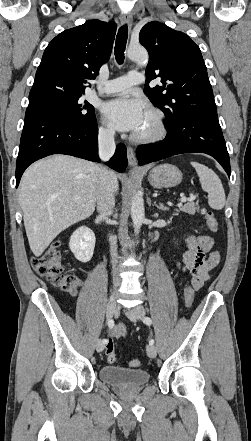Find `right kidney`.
Segmentation results:
<instances>
[{
	"mask_svg": "<svg viewBox=\"0 0 251 441\" xmlns=\"http://www.w3.org/2000/svg\"><path fill=\"white\" fill-rule=\"evenodd\" d=\"M69 248L78 261H90L95 248L94 232L86 226L79 227L70 237Z\"/></svg>",
	"mask_w": 251,
	"mask_h": 441,
	"instance_id": "right-kidney-1",
	"label": "right kidney"
}]
</instances>
